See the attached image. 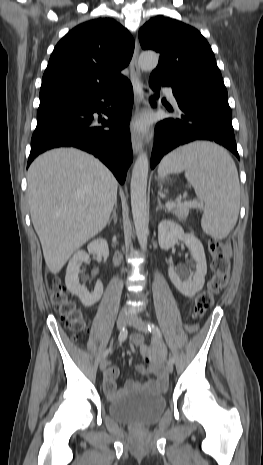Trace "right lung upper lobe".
I'll list each match as a JSON object with an SVG mask.
<instances>
[{
  "instance_id": "right-lung-upper-lobe-1",
  "label": "right lung upper lobe",
  "mask_w": 263,
  "mask_h": 465,
  "mask_svg": "<svg viewBox=\"0 0 263 465\" xmlns=\"http://www.w3.org/2000/svg\"><path fill=\"white\" fill-rule=\"evenodd\" d=\"M134 40L119 23L99 18L69 31L56 45L44 72L40 101L111 89L126 78Z\"/></svg>"
}]
</instances>
